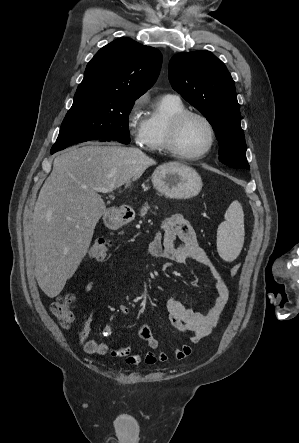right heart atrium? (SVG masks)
I'll list each match as a JSON object with an SVG mask.
<instances>
[{
  "label": "right heart atrium",
  "instance_id": "obj_1",
  "mask_svg": "<svg viewBox=\"0 0 299 443\" xmlns=\"http://www.w3.org/2000/svg\"><path fill=\"white\" fill-rule=\"evenodd\" d=\"M146 97L140 96L135 99L128 109L126 124L130 137L140 143L145 130V119L142 118V108Z\"/></svg>",
  "mask_w": 299,
  "mask_h": 443
}]
</instances>
